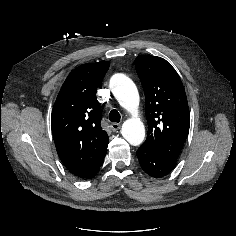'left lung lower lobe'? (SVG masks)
<instances>
[{
	"instance_id": "1",
	"label": "left lung lower lobe",
	"mask_w": 236,
	"mask_h": 236,
	"mask_svg": "<svg viewBox=\"0 0 236 236\" xmlns=\"http://www.w3.org/2000/svg\"><path fill=\"white\" fill-rule=\"evenodd\" d=\"M136 155L142 169L151 177L161 178L176 166V162L161 157L143 145L139 147Z\"/></svg>"
}]
</instances>
